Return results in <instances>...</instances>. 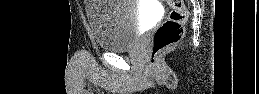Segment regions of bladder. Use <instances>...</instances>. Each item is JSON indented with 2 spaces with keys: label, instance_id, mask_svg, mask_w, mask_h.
<instances>
[{
  "label": "bladder",
  "instance_id": "1",
  "mask_svg": "<svg viewBox=\"0 0 259 94\" xmlns=\"http://www.w3.org/2000/svg\"><path fill=\"white\" fill-rule=\"evenodd\" d=\"M87 18L96 44L109 52L133 48L144 21L137 2L133 0L88 1Z\"/></svg>",
  "mask_w": 259,
  "mask_h": 94
}]
</instances>
